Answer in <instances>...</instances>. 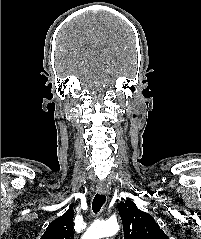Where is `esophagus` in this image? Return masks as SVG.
Segmentation results:
<instances>
[{"instance_id":"obj_1","label":"esophagus","mask_w":201,"mask_h":239,"mask_svg":"<svg viewBox=\"0 0 201 239\" xmlns=\"http://www.w3.org/2000/svg\"><path fill=\"white\" fill-rule=\"evenodd\" d=\"M97 192H98L99 194H105V195H108V194H109L108 188H107L106 186H102V185H100V186L97 187Z\"/></svg>"}]
</instances>
